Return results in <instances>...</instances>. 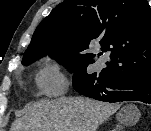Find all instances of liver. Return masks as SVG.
Wrapping results in <instances>:
<instances>
[{
  "mask_svg": "<svg viewBox=\"0 0 151 131\" xmlns=\"http://www.w3.org/2000/svg\"><path fill=\"white\" fill-rule=\"evenodd\" d=\"M118 106L84 97H62L33 103L10 131H96ZM140 113L133 108L125 122L134 124Z\"/></svg>",
  "mask_w": 151,
  "mask_h": 131,
  "instance_id": "obj_1",
  "label": "liver"
}]
</instances>
